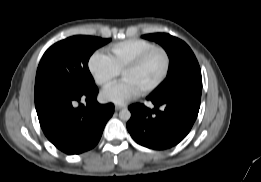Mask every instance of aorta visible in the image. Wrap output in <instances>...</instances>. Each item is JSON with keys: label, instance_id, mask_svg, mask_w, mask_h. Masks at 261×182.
Returning a JSON list of instances; mask_svg holds the SVG:
<instances>
[{"label": "aorta", "instance_id": "1", "mask_svg": "<svg viewBox=\"0 0 261 182\" xmlns=\"http://www.w3.org/2000/svg\"><path fill=\"white\" fill-rule=\"evenodd\" d=\"M131 117V112L128 109H122L119 112V118L123 121H128Z\"/></svg>", "mask_w": 261, "mask_h": 182}]
</instances>
